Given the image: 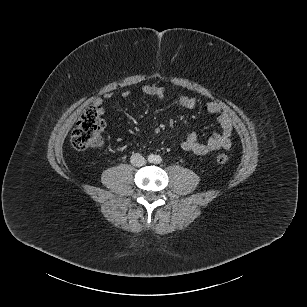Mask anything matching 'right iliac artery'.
<instances>
[{"mask_svg":"<svg viewBox=\"0 0 307 307\" xmlns=\"http://www.w3.org/2000/svg\"><path fill=\"white\" fill-rule=\"evenodd\" d=\"M148 160H149L150 162H152V161L154 160V157L151 155V156H149Z\"/></svg>","mask_w":307,"mask_h":307,"instance_id":"1","label":"right iliac artery"}]
</instances>
